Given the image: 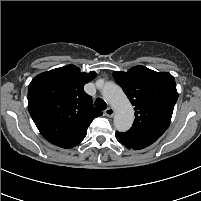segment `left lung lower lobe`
<instances>
[{
  "label": "left lung lower lobe",
  "mask_w": 201,
  "mask_h": 201,
  "mask_svg": "<svg viewBox=\"0 0 201 201\" xmlns=\"http://www.w3.org/2000/svg\"><path fill=\"white\" fill-rule=\"evenodd\" d=\"M116 139L128 149L140 150L154 143L159 137L144 134L121 133L116 131Z\"/></svg>",
  "instance_id": "0a47b994"
}]
</instances>
